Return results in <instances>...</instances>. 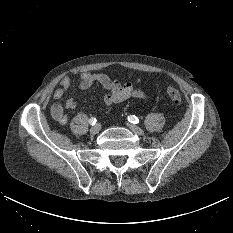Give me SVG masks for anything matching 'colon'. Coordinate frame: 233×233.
I'll return each instance as SVG.
<instances>
[{
  "label": "colon",
  "instance_id": "obj_1",
  "mask_svg": "<svg viewBox=\"0 0 233 233\" xmlns=\"http://www.w3.org/2000/svg\"><path fill=\"white\" fill-rule=\"evenodd\" d=\"M168 96L174 101L176 104H180L182 102V95L179 90L173 87H168L166 90Z\"/></svg>",
  "mask_w": 233,
  "mask_h": 233
}]
</instances>
